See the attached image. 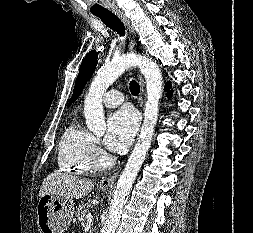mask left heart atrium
Here are the masks:
<instances>
[{
    "label": "left heart atrium",
    "mask_w": 253,
    "mask_h": 233,
    "mask_svg": "<svg viewBox=\"0 0 253 233\" xmlns=\"http://www.w3.org/2000/svg\"><path fill=\"white\" fill-rule=\"evenodd\" d=\"M138 126L136 113L123 108L113 113L107 123L105 146L114 152L124 150L132 141Z\"/></svg>",
    "instance_id": "left-heart-atrium-1"
}]
</instances>
